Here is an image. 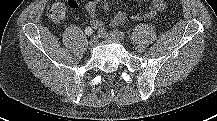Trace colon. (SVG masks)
Returning <instances> with one entry per match:
<instances>
[{"label":"colon","mask_w":217,"mask_h":121,"mask_svg":"<svg viewBox=\"0 0 217 121\" xmlns=\"http://www.w3.org/2000/svg\"><path fill=\"white\" fill-rule=\"evenodd\" d=\"M48 17L54 22H62L67 15V7L64 2L53 3L48 8Z\"/></svg>","instance_id":"colon-1"}]
</instances>
